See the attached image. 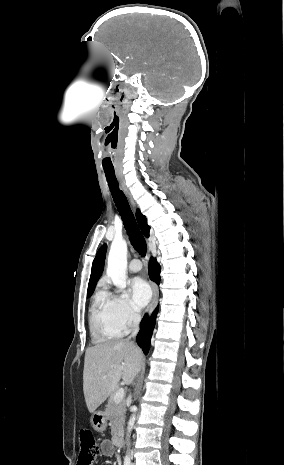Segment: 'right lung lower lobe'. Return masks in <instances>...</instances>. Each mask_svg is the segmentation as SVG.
Here are the masks:
<instances>
[{"mask_svg":"<svg viewBox=\"0 0 284 465\" xmlns=\"http://www.w3.org/2000/svg\"><path fill=\"white\" fill-rule=\"evenodd\" d=\"M149 275L150 278L157 284L160 283V265L154 258H151L149 263ZM158 307L152 313L151 317L148 318L146 315L141 322V329L137 335V343L143 349L144 353L147 354L150 347V340L152 332L155 326L156 315Z\"/></svg>","mask_w":284,"mask_h":465,"instance_id":"98d812e1","label":"right lung lower lobe"}]
</instances>
